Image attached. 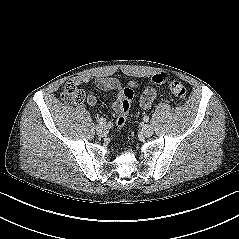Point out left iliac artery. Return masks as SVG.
<instances>
[{
  "label": "left iliac artery",
  "instance_id": "obj_1",
  "mask_svg": "<svg viewBox=\"0 0 239 239\" xmlns=\"http://www.w3.org/2000/svg\"><path fill=\"white\" fill-rule=\"evenodd\" d=\"M143 120H144L145 122H148V121H149V117H148V116H144Z\"/></svg>",
  "mask_w": 239,
  "mask_h": 239
}]
</instances>
